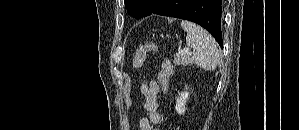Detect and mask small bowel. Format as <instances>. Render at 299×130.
Wrapping results in <instances>:
<instances>
[{"instance_id": "1", "label": "small bowel", "mask_w": 299, "mask_h": 130, "mask_svg": "<svg viewBox=\"0 0 299 130\" xmlns=\"http://www.w3.org/2000/svg\"><path fill=\"white\" fill-rule=\"evenodd\" d=\"M143 95L142 111L144 115L139 120L138 130H158L155 126L161 121L159 112L160 86L154 80H146L141 85Z\"/></svg>"}]
</instances>
